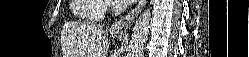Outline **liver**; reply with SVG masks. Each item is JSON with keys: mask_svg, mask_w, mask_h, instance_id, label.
Returning a JSON list of instances; mask_svg holds the SVG:
<instances>
[{"mask_svg": "<svg viewBox=\"0 0 249 57\" xmlns=\"http://www.w3.org/2000/svg\"><path fill=\"white\" fill-rule=\"evenodd\" d=\"M63 33L69 57H107L109 44L102 26L70 22L65 25Z\"/></svg>", "mask_w": 249, "mask_h": 57, "instance_id": "1", "label": "liver"}]
</instances>
